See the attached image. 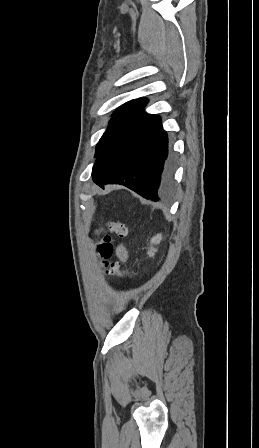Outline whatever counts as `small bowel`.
Returning a JSON list of instances; mask_svg holds the SVG:
<instances>
[{"label":"small bowel","instance_id":"small-bowel-1","mask_svg":"<svg viewBox=\"0 0 259 448\" xmlns=\"http://www.w3.org/2000/svg\"><path fill=\"white\" fill-rule=\"evenodd\" d=\"M116 255L120 261L125 262L128 259L127 249L123 245H118L116 249Z\"/></svg>","mask_w":259,"mask_h":448}]
</instances>
